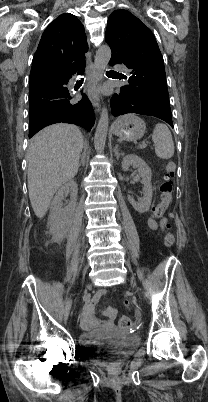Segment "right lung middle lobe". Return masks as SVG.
<instances>
[{
  "label": "right lung middle lobe",
  "instance_id": "right-lung-middle-lobe-1",
  "mask_svg": "<svg viewBox=\"0 0 208 402\" xmlns=\"http://www.w3.org/2000/svg\"><path fill=\"white\" fill-rule=\"evenodd\" d=\"M44 88L37 91H29V114L30 121L35 119L41 112H45L53 104V100H57L49 90ZM51 103V104H50Z\"/></svg>",
  "mask_w": 208,
  "mask_h": 402
}]
</instances>
